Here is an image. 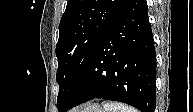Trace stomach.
I'll list each match as a JSON object with an SVG mask.
<instances>
[{
	"label": "stomach",
	"instance_id": "0dacf381",
	"mask_svg": "<svg viewBox=\"0 0 193 112\" xmlns=\"http://www.w3.org/2000/svg\"><path fill=\"white\" fill-rule=\"evenodd\" d=\"M81 112H103L102 108L97 104H89L84 107Z\"/></svg>",
	"mask_w": 193,
	"mask_h": 112
}]
</instances>
